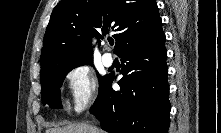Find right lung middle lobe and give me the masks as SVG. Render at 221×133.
<instances>
[{"mask_svg":"<svg viewBox=\"0 0 221 133\" xmlns=\"http://www.w3.org/2000/svg\"><path fill=\"white\" fill-rule=\"evenodd\" d=\"M91 62H65L46 67L41 71V97L43 104H48L51 108H61L60 103V86L65 76L72 69ZM99 84H101L106 76L102 77L97 74Z\"/></svg>","mask_w":221,"mask_h":133,"instance_id":"right-lung-middle-lobe-1","label":"right lung middle lobe"}]
</instances>
